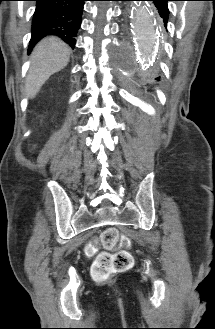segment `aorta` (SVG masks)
<instances>
[{
	"label": "aorta",
	"instance_id": "1",
	"mask_svg": "<svg viewBox=\"0 0 215 329\" xmlns=\"http://www.w3.org/2000/svg\"><path fill=\"white\" fill-rule=\"evenodd\" d=\"M132 31L144 55L151 57L158 45V18L155 11L143 3L132 4Z\"/></svg>",
	"mask_w": 215,
	"mask_h": 329
}]
</instances>
